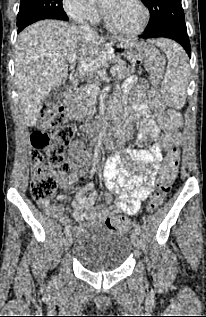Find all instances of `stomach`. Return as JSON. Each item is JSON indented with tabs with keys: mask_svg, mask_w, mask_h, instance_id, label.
I'll return each instance as SVG.
<instances>
[{
	"mask_svg": "<svg viewBox=\"0 0 206 317\" xmlns=\"http://www.w3.org/2000/svg\"><path fill=\"white\" fill-rule=\"evenodd\" d=\"M124 55L128 59V66H143L144 61L148 60L152 55V47L143 42H127L124 45ZM108 55H95L94 59H82V66L77 67V74H96L101 65H107ZM86 82H94V77H86Z\"/></svg>",
	"mask_w": 206,
	"mask_h": 317,
	"instance_id": "obj_1",
	"label": "stomach"
}]
</instances>
